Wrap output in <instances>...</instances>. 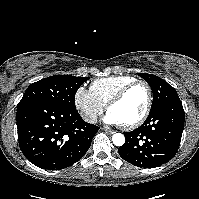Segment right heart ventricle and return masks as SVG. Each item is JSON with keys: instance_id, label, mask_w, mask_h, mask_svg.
Returning <instances> with one entry per match:
<instances>
[{"instance_id": "obj_1", "label": "right heart ventricle", "mask_w": 199, "mask_h": 199, "mask_svg": "<svg viewBox=\"0 0 199 199\" xmlns=\"http://www.w3.org/2000/svg\"><path fill=\"white\" fill-rule=\"evenodd\" d=\"M135 79L130 76H110L93 81L90 91L103 105L109 101L127 84Z\"/></svg>"}]
</instances>
